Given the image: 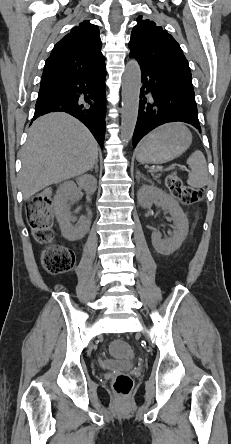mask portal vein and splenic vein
<instances>
[{
  "label": "portal vein and splenic vein",
  "mask_w": 231,
  "mask_h": 444,
  "mask_svg": "<svg viewBox=\"0 0 231 444\" xmlns=\"http://www.w3.org/2000/svg\"><path fill=\"white\" fill-rule=\"evenodd\" d=\"M158 169H152V170H150L151 172H156Z\"/></svg>",
  "instance_id": "portal-vein-and-splenic-vein-1"
}]
</instances>
